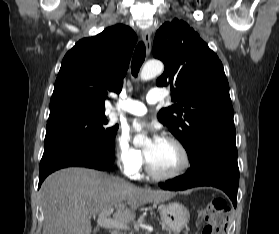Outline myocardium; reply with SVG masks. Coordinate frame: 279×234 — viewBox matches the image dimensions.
I'll return each instance as SVG.
<instances>
[{"label": "myocardium", "instance_id": "obj_1", "mask_svg": "<svg viewBox=\"0 0 279 234\" xmlns=\"http://www.w3.org/2000/svg\"><path fill=\"white\" fill-rule=\"evenodd\" d=\"M162 139L165 141L171 142L178 148V150L181 154V158H182L180 166L178 167V169L176 171L169 173V174L158 173L150 165L147 153H146V151H144L145 168H146L147 174L154 180L172 181V180L180 178L181 176H183L186 173V171L188 170V168L190 166V155H189V152H188L187 148L185 147V145L178 138L167 135V136L162 137Z\"/></svg>", "mask_w": 279, "mask_h": 234}]
</instances>
